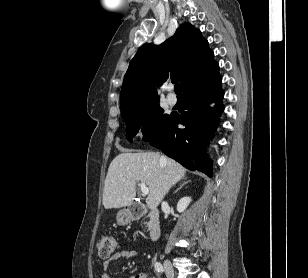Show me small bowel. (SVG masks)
Masks as SVG:
<instances>
[{"instance_id": "small-bowel-1", "label": "small bowel", "mask_w": 308, "mask_h": 278, "mask_svg": "<svg viewBox=\"0 0 308 278\" xmlns=\"http://www.w3.org/2000/svg\"><path fill=\"white\" fill-rule=\"evenodd\" d=\"M137 256V251L132 249H121L110 256V258L103 263V269L107 270L111 263L118 261H128ZM101 278H110L107 273H104ZM128 278H156L149 277L145 272H139L133 275H130Z\"/></svg>"}]
</instances>
